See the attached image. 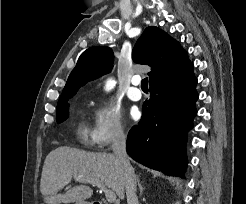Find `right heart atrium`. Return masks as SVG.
<instances>
[{"label":"right heart atrium","mask_w":246,"mask_h":204,"mask_svg":"<svg viewBox=\"0 0 246 204\" xmlns=\"http://www.w3.org/2000/svg\"><path fill=\"white\" fill-rule=\"evenodd\" d=\"M91 139L99 148H106L126 136V126L119 108L110 99H100L92 114Z\"/></svg>","instance_id":"obj_1"}]
</instances>
